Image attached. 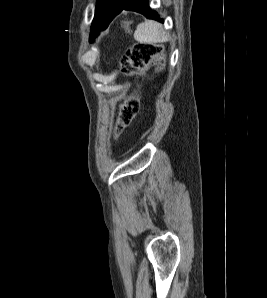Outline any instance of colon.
Wrapping results in <instances>:
<instances>
[{
    "label": "colon",
    "instance_id": "colon-1",
    "mask_svg": "<svg viewBox=\"0 0 267 298\" xmlns=\"http://www.w3.org/2000/svg\"><path fill=\"white\" fill-rule=\"evenodd\" d=\"M151 62H154L158 70L163 68L165 63L163 47L149 43H136L123 56L120 68L122 73L127 76L140 75ZM138 104V89H136L129 94L125 106L119 112L118 129H122L129 124L132 115L138 108Z\"/></svg>",
    "mask_w": 267,
    "mask_h": 298
}]
</instances>
